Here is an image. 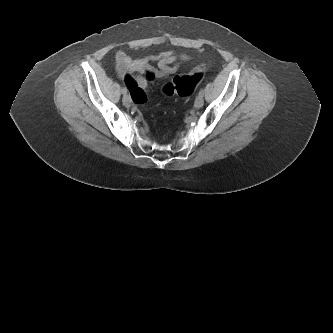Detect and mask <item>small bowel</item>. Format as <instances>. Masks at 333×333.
<instances>
[{"label": "small bowel", "mask_w": 333, "mask_h": 333, "mask_svg": "<svg viewBox=\"0 0 333 333\" xmlns=\"http://www.w3.org/2000/svg\"><path fill=\"white\" fill-rule=\"evenodd\" d=\"M184 58L175 51L166 50L133 60L123 51H118L115 55V64L117 74L120 77L125 76L133 100L136 103H143L150 82L164 79L177 72L179 63Z\"/></svg>", "instance_id": "1"}]
</instances>
